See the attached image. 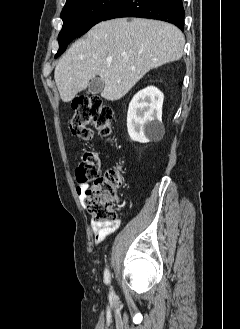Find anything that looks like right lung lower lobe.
Wrapping results in <instances>:
<instances>
[{
	"mask_svg": "<svg viewBox=\"0 0 240 329\" xmlns=\"http://www.w3.org/2000/svg\"><path fill=\"white\" fill-rule=\"evenodd\" d=\"M184 16L182 0H122L103 20L121 17L151 18L172 23L183 31Z\"/></svg>",
	"mask_w": 240,
	"mask_h": 329,
	"instance_id": "98d812e1",
	"label": "right lung lower lobe"
}]
</instances>
